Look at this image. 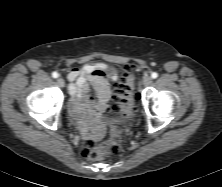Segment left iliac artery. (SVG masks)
<instances>
[{
  "label": "left iliac artery",
  "mask_w": 222,
  "mask_h": 187,
  "mask_svg": "<svg viewBox=\"0 0 222 187\" xmlns=\"http://www.w3.org/2000/svg\"><path fill=\"white\" fill-rule=\"evenodd\" d=\"M151 77H152L153 79H155V78L158 77V74H157L156 72H153V73L151 74Z\"/></svg>",
  "instance_id": "44dca946"
}]
</instances>
